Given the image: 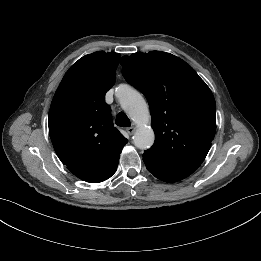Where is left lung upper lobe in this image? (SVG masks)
<instances>
[{
  "instance_id": "1",
  "label": "left lung upper lobe",
  "mask_w": 261,
  "mask_h": 261,
  "mask_svg": "<svg viewBox=\"0 0 261 261\" xmlns=\"http://www.w3.org/2000/svg\"><path fill=\"white\" fill-rule=\"evenodd\" d=\"M121 65L126 81L149 103L155 143L144 154L197 169L216 131V104L209 87L186 62L165 52L123 56Z\"/></svg>"
}]
</instances>
